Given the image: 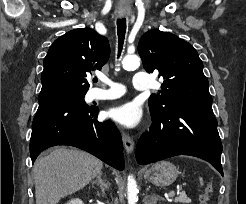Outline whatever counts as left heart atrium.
<instances>
[{
	"label": "left heart atrium",
	"instance_id": "39dd6f15",
	"mask_svg": "<svg viewBox=\"0 0 246 204\" xmlns=\"http://www.w3.org/2000/svg\"><path fill=\"white\" fill-rule=\"evenodd\" d=\"M106 116L124 127L133 128L139 124L142 115L137 105L125 103L107 110Z\"/></svg>",
	"mask_w": 246,
	"mask_h": 204
}]
</instances>
